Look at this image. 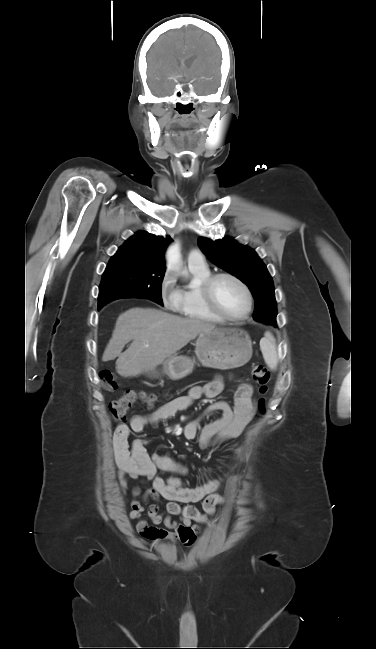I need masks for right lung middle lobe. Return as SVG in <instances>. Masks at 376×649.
<instances>
[{"instance_id": "obj_1", "label": "right lung middle lobe", "mask_w": 376, "mask_h": 649, "mask_svg": "<svg viewBox=\"0 0 376 649\" xmlns=\"http://www.w3.org/2000/svg\"><path fill=\"white\" fill-rule=\"evenodd\" d=\"M165 270L150 271L147 262L112 257L102 275L98 309L118 298H145L163 305L161 285Z\"/></svg>"}]
</instances>
